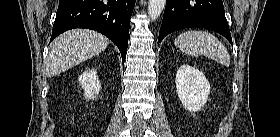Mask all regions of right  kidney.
Returning a JSON list of instances; mask_svg holds the SVG:
<instances>
[{
	"mask_svg": "<svg viewBox=\"0 0 280 137\" xmlns=\"http://www.w3.org/2000/svg\"><path fill=\"white\" fill-rule=\"evenodd\" d=\"M78 81L84 90V96L86 99H97V95L101 89V83L95 69L83 72L78 78Z\"/></svg>",
	"mask_w": 280,
	"mask_h": 137,
	"instance_id": "right-kidney-1",
	"label": "right kidney"
}]
</instances>
